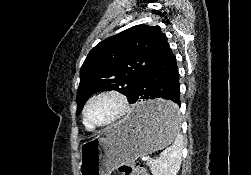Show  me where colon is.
<instances>
[{
  "label": "colon",
  "instance_id": "5ec220e1",
  "mask_svg": "<svg viewBox=\"0 0 251 175\" xmlns=\"http://www.w3.org/2000/svg\"><path fill=\"white\" fill-rule=\"evenodd\" d=\"M119 172L122 175H149L144 164L137 160L123 163L119 167Z\"/></svg>",
  "mask_w": 251,
  "mask_h": 175
}]
</instances>
